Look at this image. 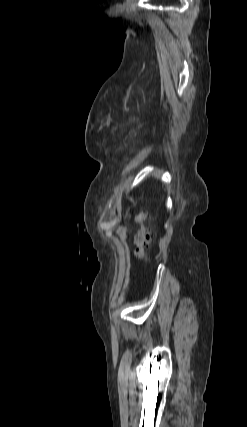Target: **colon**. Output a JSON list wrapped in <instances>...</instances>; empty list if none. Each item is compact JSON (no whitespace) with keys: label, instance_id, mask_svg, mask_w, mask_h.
Listing matches in <instances>:
<instances>
[{"label":"colon","instance_id":"5ec220e1","mask_svg":"<svg viewBox=\"0 0 247 427\" xmlns=\"http://www.w3.org/2000/svg\"><path fill=\"white\" fill-rule=\"evenodd\" d=\"M146 217H147V214L145 211H139L135 215V220L139 224V229L135 236V244H136L135 255L140 260L145 258L146 249L149 246V243L151 240L150 230L145 224Z\"/></svg>","mask_w":247,"mask_h":427}]
</instances>
